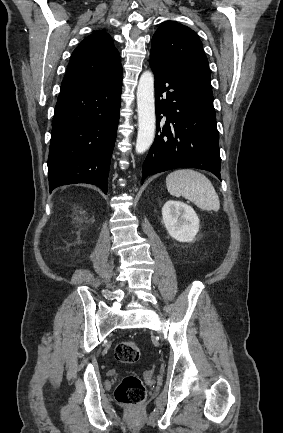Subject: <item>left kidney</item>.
<instances>
[{
    "instance_id": "left-kidney-1",
    "label": "left kidney",
    "mask_w": 283,
    "mask_h": 433,
    "mask_svg": "<svg viewBox=\"0 0 283 433\" xmlns=\"http://www.w3.org/2000/svg\"><path fill=\"white\" fill-rule=\"evenodd\" d=\"M166 230L179 242H191L199 231V218L194 209L181 202L169 200L162 208Z\"/></svg>"
}]
</instances>
